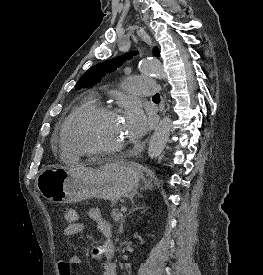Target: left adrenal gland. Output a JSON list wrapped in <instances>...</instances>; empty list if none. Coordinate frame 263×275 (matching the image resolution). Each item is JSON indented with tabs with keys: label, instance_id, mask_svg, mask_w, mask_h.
<instances>
[{
	"label": "left adrenal gland",
	"instance_id": "obj_1",
	"mask_svg": "<svg viewBox=\"0 0 263 275\" xmlns=\"http://www.w3.org/2000/svg\"><path fill=\"white\" fill-rule=\"evenodd\" d=\"M137 209H144V206H142V207H136V208L133 209V211H135V210H137ZM120 229H121V230L123 229V219H122V223H121V225H120Z\"/></svg>",
	"mask_w": 263,
	"mask_h": 275
}]
</instances>
